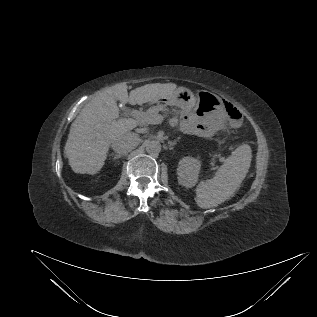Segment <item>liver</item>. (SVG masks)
Listing matches in <instances>:
<instances>
[{
	"label": "liver",
	"mask_w": 317,
	"mask_h": 317,
	"mask_svg": "<svg viewBox=\"0 0 317 317\" xmlns=\"http://www.w3.org/2000/svg\"><path fill=\"white\" fill-rule=\"evenodd\" d=\"M174 83L146 84L128 94L125 83L106 88L95 95L71 124L65 156L72 170L80 174H96L103 167L110 144L137 126L132 118H119L117 100L123 104L142 105L172 95Z\"/></svg>",
	"instance_id": "6515ba94"
}]
</instances>
